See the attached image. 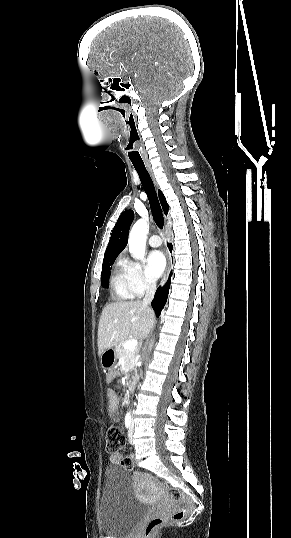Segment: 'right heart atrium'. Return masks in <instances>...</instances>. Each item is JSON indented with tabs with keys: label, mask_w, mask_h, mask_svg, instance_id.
Listing matches in <instances>:
<instances>
[{
	"label": "right heart atrium",
	"mask_w": 291,
	"mask_h": 538,
	"mask_svg": "<svg viewBox=\"0 0 291 538\" xmlns=\"http://www.w3.org/2000/svg\"><path fill=\"white\" fill-rule=\"evenodd\" d=\"M131 288L136 296H142L154 288V282L145 274L138 262H124Z\"/></svg>",
	"instance_id": "obj_1"
}]
</instances>
